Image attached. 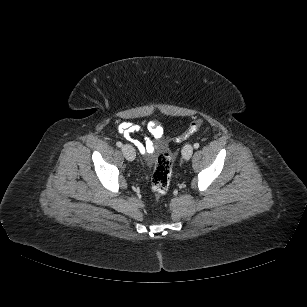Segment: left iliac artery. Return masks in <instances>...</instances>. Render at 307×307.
<instances>
[{"label": "left iliac artery", "mask_w": 307, "mask_h": 307, "mask_svg": "<svg viewBox=\"0 0 307 307\" xmlns=\"http://www.w3.org/2000/svg\"><path fill=\"white\" fill-rule=\"evenodd\" d=\"M194 148H195V149H198V148H199V143H195V144H194Z\"/></svg>", "instance_id": "obj_1"}]
</instances>
